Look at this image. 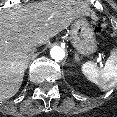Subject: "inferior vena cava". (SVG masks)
Segmentation results:
<instances>
[{
  "mask_svg": "<svg viewBox=\"0 0 117 117\" xmlns=\"http://www.w3.org/2000/svg\"><path fill=\"white\" fill-rule=\"evenodd\" d=\"M27 52H28V55L29 56H32L33 57V56H36L37 55V52L38 51H37V48L36 47H33L32 46V47H29L28 48V51Z\"/></svg>",
  "mask_w": 117,
  "mask_h": 117,
  "instance_id": "602c4592",
  "label": "inferior vena cava"
}]
</instances>
